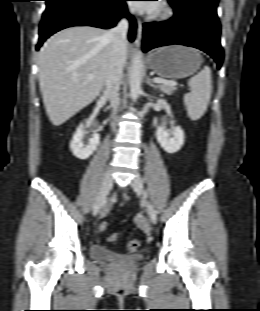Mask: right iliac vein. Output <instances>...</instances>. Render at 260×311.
<instances>
[{"label": "right iliac vein", "mask_w": 260, "mask_h": 311, "mask_svg": "<svg viewBox=\"0 0 260 311\" xmlns=\"http://www.w3.org/2000/svg\"><path fill=\"white\" fill-rule=\"evenodd\" d=\"M111 187H112V176H111V172L107 171V173L104 176L99 193L92 207V214L94 216H96L99 213V211L103 208L105 199Z\"/></svg>", "instance_id": "obj_1"}]
</instances>
